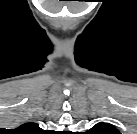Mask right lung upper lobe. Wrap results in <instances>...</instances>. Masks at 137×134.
Returning <instances> with one entry per match:
<instances>
[{
    "instance_id": "right-lung-upper-lobe-1",
    "label": "right lung upper lobe",
    "mask_w": 137,
    "mask_h": 134,
    "mask_svg": "<svg viewBox=\"0 0 137 134\" xmlns=\"http://www.w3.org/2000/svg\"><path fill=\"white\" fill-rule=\"evenodd\" d=\"M21 134H43L44 131L35 122H27L16 129Z\"/></svg>"
}]
</instances>
